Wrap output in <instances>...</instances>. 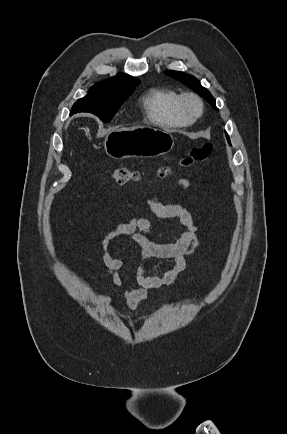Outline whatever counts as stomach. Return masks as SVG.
I'll use <instances>...</instances> for the list:
<instances>
[{
	"label": "stomach",
	"mask_w": 287,
	"mask_h": 434,
	"mask_svg": "<svg viewBox=\"0 0 287 434\" xmlns=\"http://www.w3.org/2000/svg\"><path fill=\"white\" fill-rule=\"evenodd\" d=\"M173 146L169 132L152 126L112 130L104 140L105 152L113 159L164 155Z\"/></svg>",
	"instance_id": "1"
}]
</instances>
